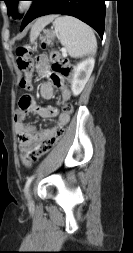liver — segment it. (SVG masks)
<instances>
[{
    "instance_id": "1",
    "label": "liver",
    "mask_w": 133,
    "mask_h": 253,
    "mask_svg": "<svg viewBox=\"0 0 133 253\" xmlns=\"http://www.w3.org/2000/svg\"><path fill=\"white\" fill-rule=\"evenodd\" d=\"M55 17H56L55 15H47L37 19L31 28L30 37L32 39L36 38L39 35V33L43 30V28L50 22H52Z\"/></svg>"
}]
</instances>
